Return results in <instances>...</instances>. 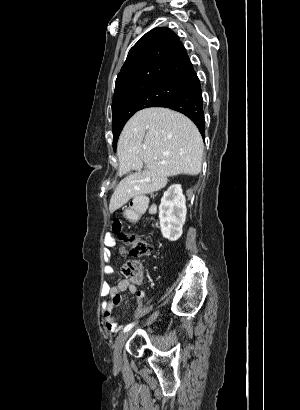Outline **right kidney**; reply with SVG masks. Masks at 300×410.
<instances>
[{
	"label": "right kidney",
	"instance_id": "obj_1",
	"mask_svg": "<svg viewBox=\"0 0 300 410\" xmlns=\"http://www.w3.org/2000/svg\"><path fill=\"white\" fill-rule=\"evenodd\" d=\"M186 199L180 184L171 185L164 192L159 206L161 232L170 241L178 240L186 219Z\"/></svg>",
	"mask_w": 300,
	"mask_h": 410
}]
</instances>
